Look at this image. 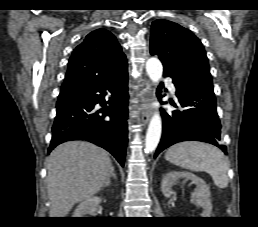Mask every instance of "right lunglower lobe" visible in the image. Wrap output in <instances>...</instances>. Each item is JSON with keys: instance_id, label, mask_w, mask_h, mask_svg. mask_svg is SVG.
<instances>
[{"instance_id": "1", "label": "right lung lower lobe", "mask_w": 258, "mask_h": 227, "mask_svg": "<svg viewBox=\"0 0 258 227\" xmlns=\"http://www.w3.org/2000/svg\"><path fill=\"white\" fill-rule=\"evenodd\" d=\"M127 85V67L104 77L64 82L48 153L63 142L86 140L109 151L123 167L127 147ZM96 104L102 109L95 111ZM107 116L111 121L105 120Z\"/></svg>"}]
</instances>
